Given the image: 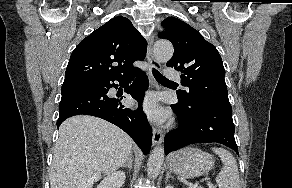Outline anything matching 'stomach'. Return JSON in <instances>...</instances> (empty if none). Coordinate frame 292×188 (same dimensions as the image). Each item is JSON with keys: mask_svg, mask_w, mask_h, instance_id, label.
<instances>
[{"mask_svg": "<svg viewBox=\"0 0 292 188\" xmlns=\"http://www.w3.org/2000/svg\"><path fill=\"white\" fill-rule=\"evenodd\" d=\"M168 169L184 178L203 175L214 166L211 154L195 148H185L172 153L167 161Z\"/></svg>", "mask_w": 292, "mask_h": 188, "instance_id": "stomach-1", "label": "stomach"}]
</instances>
